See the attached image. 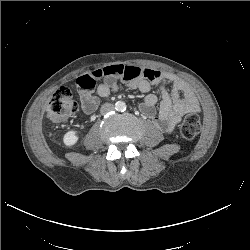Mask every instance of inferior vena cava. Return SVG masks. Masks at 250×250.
I'll return each instance as SVG.
<instances>
[{
    "label": "inferior vena cava",
    "instance_id": "obj_1",
    "mask_svg": "<svg viewBox=\"0 0 250 250\" xmlns=\"http://www.w3.org/2000/svg\"><path fill=\"white\" fill-rule=\"evenodd\" d=\"M114 105L113 104H110V103H105L101 106V113L102 114H106L110 111H113L114 110Z\"/></svg>",
    "mask_w": 250,
    "mask_h": 250
}]
</instances>
